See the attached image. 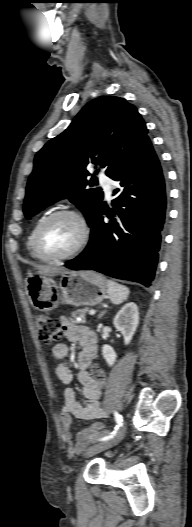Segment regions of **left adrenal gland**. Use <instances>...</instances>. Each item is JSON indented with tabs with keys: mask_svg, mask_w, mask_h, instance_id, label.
Wrapping results in <instances>:
<instances>
[{
	"mask_svg": "<svg viewBox=\"0 0 192 527\" xmlns=\"http://www.w3.org/2000/svg\"><path fill=\"white\" fill-rule=\"evenodd\" d=\"M105 311H103L102 313L99 314V318H101L103 316Z\"/></svg>",
	"mask_w": 192,
	"mask_h": 527,
	"instance_id": "a2214340",
	"label": "left adrenal gland"
}]
</instances>
